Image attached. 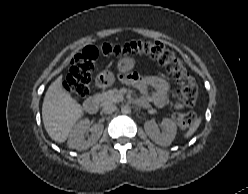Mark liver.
Instances as JSON below:
<instances>
[{
    "label": "liver",
    "instance_id": "1",
    "mask_svg": "<svg viewBox=\"0 0 248 194\" xmlns=\"http://www.w3.org/2000/svg\"><path fill=\"white\" fill-rule=\"evenodd\" d=\"M63 76L49 86L42 105L44 127L52 140L63 143L83 116L82 106L64 89Z\"/></svg>",
    "mask_w": 248,
    "mask_h": 194
}]
</instances>
